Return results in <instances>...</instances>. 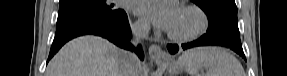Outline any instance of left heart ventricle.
<instances>
[{"mask_svg": "<svg viewBox=\"0 0 287 76\" xmlns=\"http://www.w3.org/2000/svg\"><path fill=\"white\" fill-rule=\"evenodd\" d=\"M199 23L198 17L190 11L179 10L178 15L168 31L185 34L194 30Z\"/></svg>", "mask_w": 287, "mask_h": 76, "instance_id": "left-heart-ventricle-1", "label": "left heart ventricle"}]
</instances>
